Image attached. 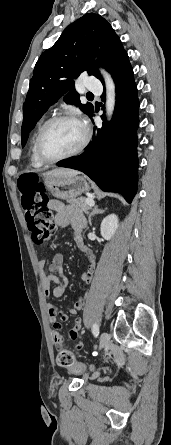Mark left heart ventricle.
Wrapping results in <instances>:
<instances>
[{
  "label": "left heart ventricle",
  "instance_id": "1",
  "mask_svg": "<svg viewBox=\"0 0 171 445\" xmlns=\"http://www.w3.org/2000/svg\"><path fill=\"white\" fill-rule=\"evenodd\" d=\"M81 127L72 121H60L48 128L42 139L41 148L48 158H56L76 149L81 143Z\"/></svg>",
  "mask_w": 171,
  "mask_h": 445
}]
</instances>
